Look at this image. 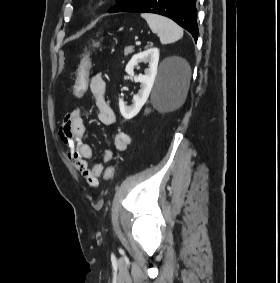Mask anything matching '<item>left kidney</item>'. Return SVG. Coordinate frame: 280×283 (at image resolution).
<instances>
[{
    "instance_id": "obj_1",
    "label": "left kidney",
    "mask_w": 280,
    "mask_h": 283,
    "mask_svg": "<svg viewBox=\"0 0 280 283\" xmlns=\"http://www.w3.org/2000/svg\"><path fill=\"white\" fill-rule=\"evenodd\" d=\"M179 61L184 65L183 60ZM140 62L149 63V68L145 70V74L134 76V68ZM159 62V49L150 48L146 51L140 52L134 55L131 60L128 62L125 68V72L134 77L135 82H140V90L133 97V104L127 106L122 99L119 98V109L121 115L125 119H131L136 116L143 105L146 103L149 94L152 90L155 77L157 75V68Z\"/></svg>"
}]
</instances>
